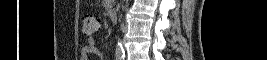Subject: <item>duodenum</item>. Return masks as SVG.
<instances>
[{
    "instance_id": "obj_1",
    "label": "duodenum",
    "mask_w": 267,
    "mask_h": 60,
    "mask_svg": "<svg viewBox=\"0 0 267 60\" xmlns=\"http://www.w3.org/2000/svg\"><path fill=\"white\" fill-rule=\"evenodd\" d=\"M108 14H109V17H110V19L112 21H117V19H118V12H117V10L115 8L110 9L109 12H108Z\"/></svg>"
}]
</instances>
